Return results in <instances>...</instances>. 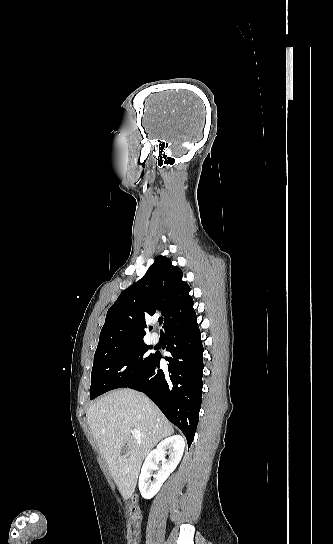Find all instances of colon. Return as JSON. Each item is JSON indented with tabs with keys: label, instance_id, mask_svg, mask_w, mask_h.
<instances>
[{
	"label": "colon",
	"instance_id": "1",
	"mask_svg": "<svg viewBox=\"0 0 333 544\" xmlns=\"http://www.w3.org/2000/svg\"><path fill=\"white\" fill-rule=\"evenodd\" d=\"M128 509L134 526L135 544H137L141 527V511L135 497L129 500Z\"/></svg>",
	"mask_w": 333,
	"mask_h": 544
}]
</instances>
